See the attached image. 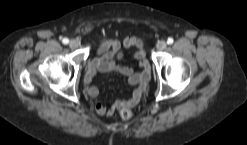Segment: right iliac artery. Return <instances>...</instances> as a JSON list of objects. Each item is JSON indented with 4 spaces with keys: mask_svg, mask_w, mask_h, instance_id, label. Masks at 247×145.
I'll return each mask as SVG.
<instances>
[{
    "mask_svg": "<svg viewBox=\"0 0 247 145\" xmlns=\"http://www.w3.org/2000/svg\"><path fill=\"white\" fill-rule=\"evenodd\" d=\"M62 43H63V44H68V43H69V40H68L67 38H64V39L62 40Z\"/></svg>",
    "mask_w": 247,
    "mask_h": 145,
    "instance_id": "82829eb1",
    "label": "right iliac artery"
}]
</instances>
